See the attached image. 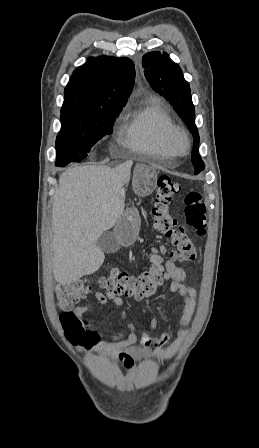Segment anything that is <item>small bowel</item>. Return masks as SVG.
<instances>
[{"mask_svg":"<svg viewBox=\"0 0 259 448\" xmlns=\"http://www.w3.org/2000/svg\"><path fill=\"white\" fill-rule=\"evenodd\" d=\"M163 278L171 282L170 291L172 293H179L184 300V308L180 318V325L186 326L194 313L196 292L193 288L186 286L184 281L187 277L185 269L177 266L171 259L165 262L163 271ZM95 299L100 304L111 303L115 307L123 305V299L114 293L105 290L104 292H96ZM89 310L88 306H78L73 312L76 316L82 317ZM127 312L123 311L122 320L126 321ZM89 324V331L87 338L81 343L82 350L86 353L99 354L103 357H112L117 361L123 362L126 368H131L135 360L145 358H156L159 360H168L176 353L187 336L185 330H179L177 338L167 347L164 345L170 340L168 332L162 333L159 337H152L147 333L139 335L131 324H125L127 334L123 337H116L111 341L101 340L99 334L91 330ZM157 326V321L154 319L150 322V329ZM150 339L154 345V349H149L148 346L140 347L137 345L139 340Z\"/></svg>","mask_w":259,"mask_h":448,"instance_id":"1","label":"small bowel"}]
</instances>
